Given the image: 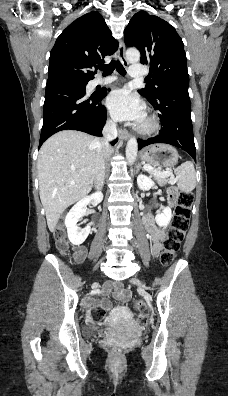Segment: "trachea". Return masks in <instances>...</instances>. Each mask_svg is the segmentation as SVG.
<instances>
[{"instance_id": "trachea-1", "label": "trachea", "mask_w": 228, "mask_h": 396, "mask_svg": "<svg viewBox=\"0 0 228 396\" xmlns=\"http://www.w3.org/2000/svg\"><path fill=\"white\" fill-rule=\"evenodd\" d=\"M98 68L103 71L104 76L110 75L115 68L121 75H126L125 68L118 60L111 61L109 65H99Z\"/></svg>"}]
</instances>
